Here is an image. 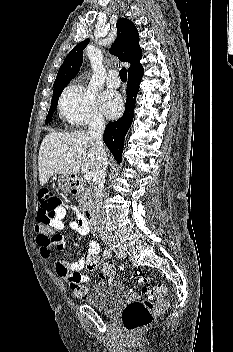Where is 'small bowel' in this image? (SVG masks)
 I'll use <instances>...</instances> for the list:
<instances>
[{"label":"small bowel","instance_id":"c3829d8e","mask_svg":"<svg viewBox=\"0 0 233 352\" xmlns=\"http://www.w3.org/2000/svg\"><path fill=\"white\" fill-rule=\"evenodd\" d=\"M72 210L78 214V220L70 223V227L80 235H87L90 228L88 227L85 217L81 215L78 208L72 205H63L59 199L54 195L52 189L43 187L38 192V221L48 220L50 225L55 230H63L65 228L64 218L66 211ZM37 244L39 246L42 257L46 260L51 259L55 251L61 250L64 246L63 239L61 242L55 243L45 241L37 237ZM88 253L98 254L99 246L95 241H89ZM54 268L59 277L67 280L70 284V277L74 274H82L85 268L83 257L71 264H67L63 258L54 259ZM84 282L89 280L87 275L82 274Z\"/></svg>","mask_w":233,"mask_h":352}]
</instances>
